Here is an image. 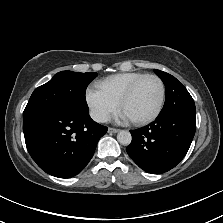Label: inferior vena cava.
Instances as JSON below:
<instances>
[{"label": "inferior vena cava", "instance_id": "obj_1", "mask_svg": "<svg viewBox=\"0 0 223 223\" xmlns=\"http://www.w3.org/2000/svg\"><path fill=\"white\" fill-rule=\"evenodd\" d=\"M90 115L97 122H106L108 120L107 115H104L100 112H91Z\"/></svg>", "mask_w": 223, "mask_h": 223}]
</instances>
